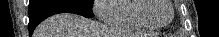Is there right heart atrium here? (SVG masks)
Wrapping results in <instances>:
<instances>
[{
    "mask_svg": "<svg viewBox=\"0 0 219 37\" xmlns=\"http://www.w3.org/2000/svg\"><path fill=\"white\" fill-rule=\"evenodd\" d=\"M117 0H95L93 11L99 20L112 24L116 19Z\"/></svg>",
    "mask_w": 219,
    "mask_h": 37,
    "instance_id": "right-heart-atrium-1",
    "label": "right heart atrium"
}]
</instances>
